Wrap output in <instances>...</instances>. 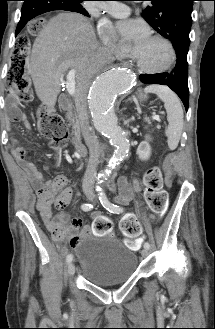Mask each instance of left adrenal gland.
<instances>
[{"label": "left adrenal gland", "instance_id": "obj_1", "mask_svg": "<svg viewBox=\"0 0 215 329\" xmlns=\"http://www.w3.org/2000/svg\"><path fill=\"white\" fill-rule=\"evenodd\" d=\"M128 101L132 102V98H128V99L126 100V102H128Z\"/></svg>", "mask_w": 215, "mask_h": 329}]
</instances>
